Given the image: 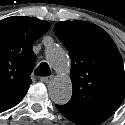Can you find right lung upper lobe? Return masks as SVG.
Instances as JSON below:
<instances>
[{
  "label": "right lung upper lobe",
  "instance_id": "1",
  "mask_svg": "<svg viewBox=\"0 0 125 125\" xmlns=\"http://www.w3.org/2000/svg\"><path fill=\"white\" fill-rule=\"evenodd\" d=\"M50 24L34 17L0 21V111L17 105L28 91L36 55L32 47Z\"/></svg>",
  "mask_w": 125,
  "mask_h": 125
}]
</instances>
